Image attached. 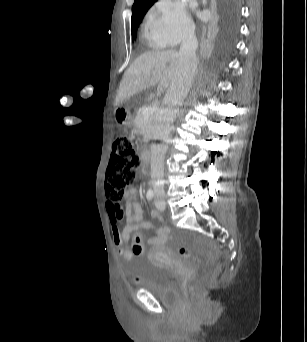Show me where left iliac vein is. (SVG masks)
<instances>
[{
  "instance_id": "left-iliac-vein-1",
  "label": "left iliac vein",
  "mask_w": 307,
  "mask_h": 342,
  "mask_svg": "<svg viewBox=\"0 0 307 342\" xmlns=\"http://www.w3.org/2000/svg\"><path fill=\"white\" fill-rule=\"evenodd\" d=\"M155 206H156V208H157L158 210L162 211V210L165 209L166 204H165L164 201H161V200L156 199V200H155Z\"/></svg>"
}]
</instances>
